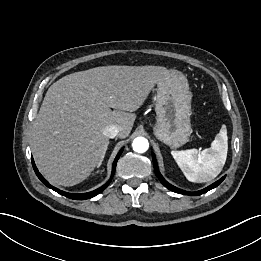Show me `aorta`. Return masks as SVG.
<instances>
[{
    "label": "aorta",
    "instance_id": "obj_1",
    "mask_svg": "<svg viewBox=\"0 0 261 261\" xmlns=\"http://www.w3.org/2000/svg\"><path fill=\"white\" fill-rule=\"evenodd\" d=\"M133 150L138 153H144L149 148V142L144 137H137L132 143Z\"/></svg>",
    "mask_w": 261,
    "mask_h": 261
}]
</instances>
